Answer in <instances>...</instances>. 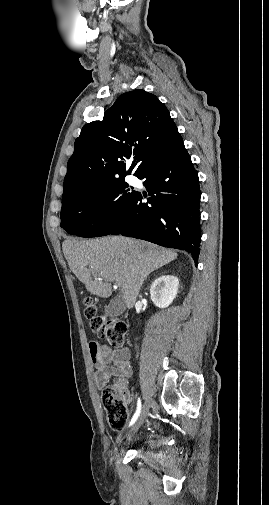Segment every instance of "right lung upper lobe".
I'll return each instance as SVG.
<instances>
[{
    "instance_id": "1",
    "label": "right lung upper lobe",
    "mask_w": 269,
    "mask_h": 505,
    "mask_svg": "<svg viewBox=\"0 0 269 505\" xmlns=\"http://www.w3.org/2000/svg\"><path fill=\"white\" fill-rule=\"evenodd\" d=\"M183 143L168 109L144 90L122 94L103 120L83 126L67 164L62 202L77 193L135 176ZM134 158L126 172V159Z\"/></svg>"
}]
</instances>
